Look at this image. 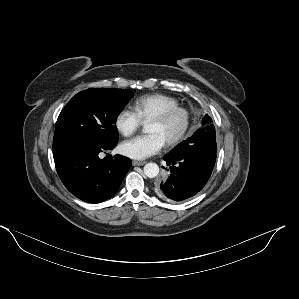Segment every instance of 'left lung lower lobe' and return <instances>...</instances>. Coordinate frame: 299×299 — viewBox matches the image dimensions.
Here are the masks:
<instances>
[{
    "mask_svg": "<svg viewBox=\"0 0 299 299\" xmlns=\"http://www.w3.org/2000/svg\"><path fill=\"white\" fill-rule=\"evenodd\" d=\"M209 140L200 138L183 149L166 154L163 159L169 168L168 177L155 187L156 194L172 201H182L196 195L206 185L215 165Z\"/></svg>",
    "mask_w": 299,
    "mask_h": 299,
    "instance_id": "1",
    "label": "left lung lower lobe"
}]
</instances>
